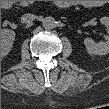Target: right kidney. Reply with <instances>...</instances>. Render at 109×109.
Returning a JSON list of instances; mask_svg holds the SVG:
<instances>
[{"mask_svg":"<svg viewBox=\"0 0 109 109\" xmlns=\"http://www.w3.org/2000/svg\"><path fill=\"white\" fill-rule=\"evenodd\" d=\"M15 33L10 29H3L1 31V55H7L14 43Z\"/></svg>","mask_w":109,"mask_h":109,"instance_id":"obj_1","label":"right kidney"}]
</instances>
